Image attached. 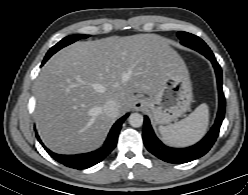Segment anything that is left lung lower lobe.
Here are the masks:
<instances>
[{
	"label": "left lung lower lobe",
	"mask_w": 248,
	"mask_h": 195,
	"mask_svg": "<svg viewBox=\"0 0 248 195\" xmlns=\"http://www.w3.org/2000/svg\"><path fill=\"white\" fill-rule=\"evenodd\" d=\"M205 57H207L213 64L216 78L218 83V97H219V106L218 114L215 120L214 125L208 134L197 144L183 149L170 148L164 145L154 134V131L151 127L150 121L147 116L144 118V130H143V140L146 148L152 154L157 156L163 161L169 163H186L201 156L205 155L210 148L213 146L216 141L220 126L224 119L225 115V97L222 91V70L218 62L216 61L212 52H208L204 49H199L198 51Z\"/></svg>",
	"instance_id": "0a47b994"
}]
</instances>
